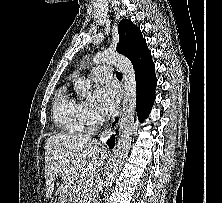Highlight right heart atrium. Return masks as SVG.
<instances>
[{"mask_svg": "<svg viewBox=\"0 0 222 203\" xmlns=\"http://www.w3.org/2000/svg\"><path fill=\"white\" fill-rule=\"evenodd\" d=\"M82 115L84 123L88 126H93L97 121V114L89 103H82Z\"/></svg>", "mask_w": 222, "mask_h": 203, "instance_id": "right-heart-atrium-1", "label": "right heart atrium"}]
</instances>
